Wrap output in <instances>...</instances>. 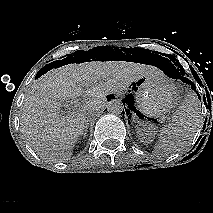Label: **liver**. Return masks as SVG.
I'll return each mask as SVG.
<instances>
[{
	"instance_id": "obj_1",
	"label": "liver",
	"mask_w": 213,
	"mask_h": 213,
	"mask_svg": "<svg viewBox=\"0 0 213 213\" xmlns=\"http://www.w3.org/2000/svg\"><path fill=\"white\" fill-rule=\"evenodd\" d=\"M158 73L152 66L127 61H90L54 68L40 76L25 96L21 133L42 159L67 161L84 130L89 110H101L110 93ZM83 87L90 99L78 108L62 112V103L81 96Z\"/></svg>"
}]
</instances>
